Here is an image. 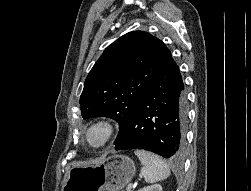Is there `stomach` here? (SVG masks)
Instances as JSON below:
<instances>
[{"label":"stomach","instance_id":"0dacf381","mask_svg":"<svg viewBox=\"0 0 251 191\" xmlns=\"http://www.w3.org/2000/svg\"><path fill=\"white\" fill-rule=\"evenodd\" d=\"M133 159L108 155L98 165L71 167L62 191H120L135 175Z\"/></svg>","mask_w":251,"mask_h":191}]
</instances>
